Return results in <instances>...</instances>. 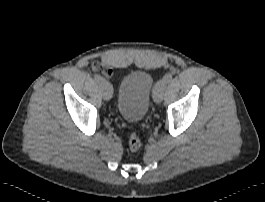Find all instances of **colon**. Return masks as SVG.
<instances>
[{"instance_id":"colon-1","label":"colon","mask_w":265,"mask_h":202,"mask_svg":"<svg viewBox=\"0 0 265 202\" xmlns=\"http://www.w3.org/2000/svg\"><path fill=\"white\" fill-rule=\"evenodd\" d=\"M129 147L131 151H138L141 147L140 138L136 134H132L129 138Z\"/></svg>"}]
</instances>
